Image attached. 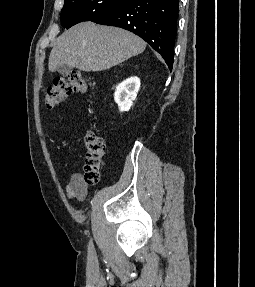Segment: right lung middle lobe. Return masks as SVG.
Here are the masks:
<instances>
[{
  "label": "right lung middle lobe",
  "mask_w": 255,
  "mask_h": 287,
  "mask_svg": "<svg viewBox=\"0 0 255 287\" xmlns=\"http://www.w3.org/2000/svg\"><path fill=\"white\" fill-rule=\"evenodd\" d=\"M125 0H64L61 10V24L64 28L73 25L92 21L101 13L118 6Z\"/></svg>",
  "instance_id": "1"
}]
</instances>
